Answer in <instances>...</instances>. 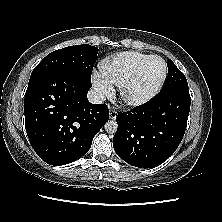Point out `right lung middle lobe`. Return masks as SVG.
Returning a JSON list of instances; mask_svg holds the SVG:
<instances>
[{
  "instance_id": "1",
  "label": "right lung middle lobe",
  "mask_w": 222,
  "mask_h": 222,
  "mask_svg": "<svg viewBox=\"0 0 222 222\" xmlns=\"http://www.w3.org/2000/svg\"><path fill=\"white\" fill-rule=\"evenodd\" d=\"M98 48L84 44L65 47L48 54L32 71L30 80L54 72H71L91 79Z\"/></svg>"
}]
</instances>
